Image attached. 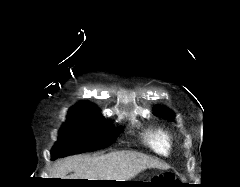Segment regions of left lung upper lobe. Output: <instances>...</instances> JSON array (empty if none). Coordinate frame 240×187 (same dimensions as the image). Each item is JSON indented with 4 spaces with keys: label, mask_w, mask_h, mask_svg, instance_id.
Masks as SVG:
<instances>
[{
    "label": "left lung upper lobe",
    "mask_w": 240,
    "mask_h": 187,
    "mask_svg": "<svg viewBox=\"0 0 240 187\" xmlns=\"http://www.w3.org/2000/svg\"><path fill=\"white\" fill-rule=\"evenodd\" d=\"M155 115L157 116H161L165 119H168V120H173L174 119V114L169 111L167 108H156L155 109Z\"/></svg>",
    "instance_id": "obj_1"
}]
</instances>
